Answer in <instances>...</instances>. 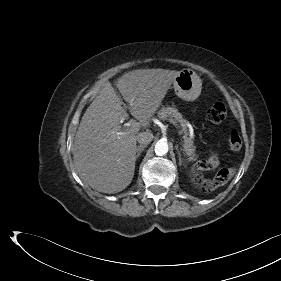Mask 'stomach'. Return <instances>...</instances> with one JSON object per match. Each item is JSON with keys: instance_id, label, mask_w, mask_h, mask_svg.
Segmentation results:
<instances>
[{"instance_id": "obj_1", "label": "stomach", "mask_w": 281, "mask_h": 281, "mask_svg": "<svg viewBox=\"0 0 281 281\" xmlns=\"http://www.w3.org/2000/svg\"><path fill=\"white\" fill-rule=\"evenodd\" d=\"M173 88L178 97L186 101L197 99L201 93L202 81L191 69H183L173 81Z\"/></svg>"}]
</instances>
